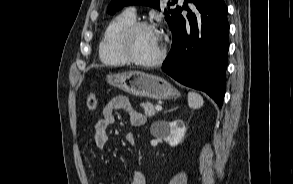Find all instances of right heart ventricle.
<instances>
[{
  "label": "right heart ventricle",
  "mask_w": 293,
  "mask_h": 184,
  "mask_svg": "<svg viewBox=\"0 0 293 184\" xmlns=\"http://www.w3.org/2000/svg\"><path fill=\"white\" fill-rule=\"evenodd\" d=\"M134 21V16L123 12L109 22L98 47L99 58L102 63L107 66H121L127 63V60L119 51L118 41L123 30Z\"/></svg>",
  "instance_id": "obj_1"
}]
</instances>
